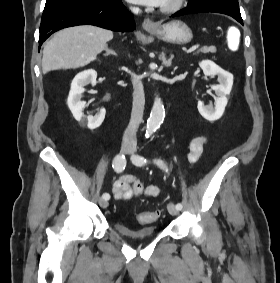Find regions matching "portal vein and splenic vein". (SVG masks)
<instances>
[{
  "label": "portal vein and splenic vein",
  "mask_w": 280,
  "mask_h": 283,
  "mask_svg": "<svg viewBox=\"0 0 280 283\" xmlns=\"http://www.w3.org/2000/svg\"><path fill=\"white\" fill-rule=\"evenodd\" d=\"M198 47H199L198 45H195V46L189 48V49L186 51V53H191V52L195 51Z\"/></svg>",
  "instance_id": "1"
}]
</instances>
